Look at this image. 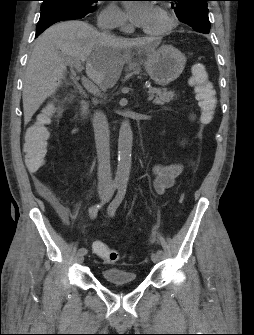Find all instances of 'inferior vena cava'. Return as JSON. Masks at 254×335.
<instances>
[{
    "label": "inferior vena cava",
    "instance_id": "602c4592",
    "mask_svg": "<svg viewBox=\"0 0 254 335\" xmlns=\"http://www.w3.org/2000/svg\"><path fill=\"white\" fill-rule=\"evenodd\" d=\"M98 27L102 33L109 35L111 26L104 20L98 21ZM93 127L98 158V188L99 190H109L112 185L110 167V139L109 127L106 115L98 111L93 116Z\"/></svg>",
    "mask_w": 254,
    "mask_h": 335
}]
</instances>
